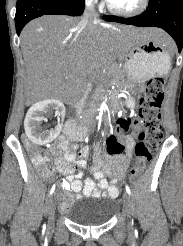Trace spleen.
I'll list each match as a JSON object with an SVG mask.
<instances>
[{
    "label": "spleen",
    "instance_id": "obj_1",
    "mask_svg": "<svg viewBox=\"0 0 183 246\" xmlns=\"http://www.w3.org/2000/svg\"><path fill=\"white\" fill-rule=\"evenodd\" d=\"M146 60H147V57H146V56H142V57H140L139 60H135L133 63H134V64L139 63V62L143 63V62L146 61ZM170 66H171V63L169 64L168 71H169V69H170ZM168 71H167V72H168Z\"/></svg>",
    "mask_w": 183,
    "mask_h": 246
}]
</instances>
